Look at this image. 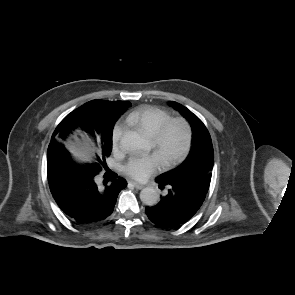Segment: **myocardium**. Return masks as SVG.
Masks as SVG:
<instances>
[{"label":"myocardium","mask_w":295,"mask_h":295,"mask_svg":"<svg viewBox=\"0 0 295 295\" xmlns=\"http://www.w3.org/2000/svg\"><path fill=\"white\" fill-rule=\"evenodd\" d=\"M173 128L181 130L184 136V141L180 151L164 161L165 168H171L181 163L188 155L192 144V129L189 123L182 118H171L152 136V144L157 152L162 149L169 132Z\"/></svg>","instance_id":"obj_1"}]
</instances>
